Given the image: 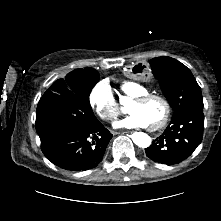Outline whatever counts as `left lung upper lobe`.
Returning <instances> with one entry per match:
<instances>
[{
    "instance_id": "obj_1",
    "label": "left lung upper lobe",
    "mask_w": 221,
    "mask_h": 221,
    "mask_svg": "<svg viewBox=\"0 0 221 221\" xmlns=\"http://www.w3.org/2000/svg\"><path fill=\"white\" fill-rule=\"evenodd\" d=\"M149 63L174 110V117L190 109L203 108L201 88L185 65L171 57H157ZM170 143L166 153L172 157L175 153V142Z\"/></svg>"
}]
</instances>
